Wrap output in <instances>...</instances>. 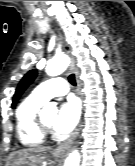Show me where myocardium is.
Masks as SVG:
<instances>
[{
	"label": "myocardium",
	"instance_id": "f54148a6",
	"mask_svg": "<svg viewBox=\"0 0 135 166\" xmlns=\"http://www.w3.org/2000/svg\"><path fill=\"white\" fill-rule=\"evenodd\" d=\"M37 126L44 136L52 135V129L43 122L42 116L39 114L37 116Z\"/></svg>",
	"mask_w": 135,
	"mask_h": 166
}]
</instances>
